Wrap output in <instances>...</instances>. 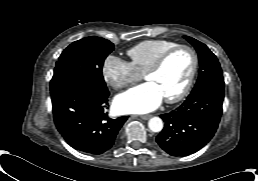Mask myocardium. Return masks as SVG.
Segmentation results:
<instances>
[{
  "mask_svg": "<svg viewBox=\"0 0 258 181\" xmlns=\"http://www.w3.org/2000/svg\"><path fill=\"white\" fill-rule=\"evenodd\" d=\"M179 50H187L190 53L191 58H192V67H191V71H190L188 80H187L185 86L183 87V89L177 95L165 98V101L167 103H177V102L183 100L189 94V92L194 84V81H195V78L197 75V71H198V67H199V58H198V55H197L196 51L194 50V48H192L189 45L178 44V45L166 50L156 59V61L149 67V69L144 74V77L146 78L148 75L159 72L162 69V67L164 66V64L166 63V61L168 60V58Z\"/></svg>",
  "mask_w": 258,
  "mask_h": 181,
  "instance_id": "myocardium-1",
  "label": "myocardium"
}]
</instances>
